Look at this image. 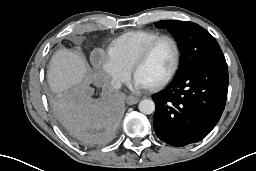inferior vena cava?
I'll use <instances>...</instances> for the list:
<instances>
[{"mask_svg": "<svg viewBox=\"0 0 256 171\" xmlns=\"http://www.w3.org/2000/svg\"><path fill=\"white\" fill-rule=\"evenodd\" d=\"M110 84L114 89H120L122 85V83L117 79H112Z\"/></svg>", "mask_w": 256, "mask_h": 171, "instance_id": "602c4592", "label": "inferior vena cava"}]
</instances>
